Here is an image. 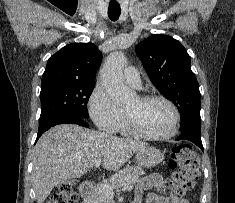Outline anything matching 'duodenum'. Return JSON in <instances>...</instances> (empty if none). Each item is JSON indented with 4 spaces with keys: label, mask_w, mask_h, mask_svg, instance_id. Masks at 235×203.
I'll list each match as a JSON object with an SVG mask.
<instances>
[{
    "label": "duodenum",
    "mask_w": 235,
    "mask_h": 203,
    "mask_svg": "<svg viewBox=\"0 0 235 203\" xmlns=\"http://www.w3.org/2000/svg\"><path fill=\"white\" fill-rule=\"evenodd\" d=\"M94 187H95V183L92 180H86L80 185L79 195H80L82 203L89 202V199H90V196L93 192ZM133 203H139V201L134 199Z\"/></svg>",
    "instance_id": "410a0bca"
}]
</instances>
